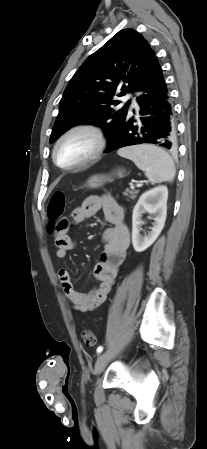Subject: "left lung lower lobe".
Returning <instances> with one entry per match:
<instances>
[{"label":"left lung lower lobe","mask_w":207,"mask_h":449,"mask_svg":"<svg viewBox=\"0 0 207 449\" xmlns=\"http://www.w3.org/2000/svg\"><path fill=\"white\" fill-rule=\"evenodd\" d=\"M137 103L140 117L127 116L119 133L110 142L106 153L136 144H156L175 150L177 132L175 112L163 72L157 61L141 86ZM134 112V111H133Z\"/></svg>","instance_id":"left-lung-lower-lobe-1"}]
</instances>
